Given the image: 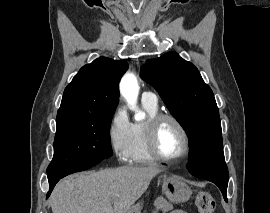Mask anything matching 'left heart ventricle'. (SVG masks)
Listing matches in <instances>:
<instances>
[{
  "label": "left heart ventricle",
  "mask_w": 270,
  "mask_h": 213,
  "mask_svg": "<svg viewBox=\"0 0 270 213\" xmlns=\"http://www.w3.org/2000/svg\"><path fill=\"white\" fill-rule=\"evenodd\" d=\"M159 151L167 157H177L184 150V138L178 127L169 120L162 123L157 134Z\"/></svg>",
  "instance_id": "1"
}]
</instances>
